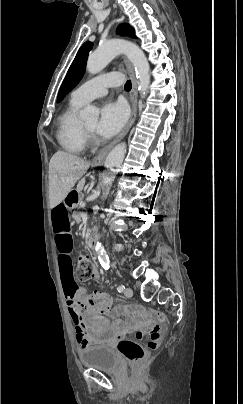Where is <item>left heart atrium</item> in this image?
<instances>
[{"mask_svg":"<svg viewBox=\"0 0 243 404\" xmlns=\"http://www.w3.org/2000/svg\"><path fill=\"white\" fill-rule=\"evenodd\" d=\"M126 117V110L120 102L107 100L102 106L96 133L104 138L115 135L124 125Z\"/></svg>","mask_w":243,"mask_h":404,"instance_id":"1","label":"left heart atrium"}]
</instances>
